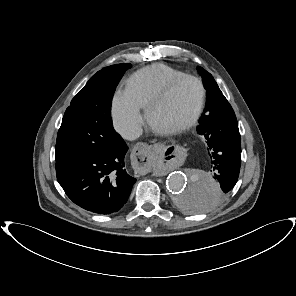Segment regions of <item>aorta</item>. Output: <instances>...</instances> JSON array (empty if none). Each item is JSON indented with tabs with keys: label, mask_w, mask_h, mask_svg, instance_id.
<instances>
[{
	"label": "aorta",
	"mask_w": 296,
	"mask_h": 296,
	"mask_svg": "<svg viewBox=\"0 0 296 296\" xmlns=\"http://www.w3.org/2000/svg\"><path fill=\"white\" fill-rule=\"evenodd\" d=\"M174 206L188 214L210 211L219 197V184L206 172L186 167L171 173L166 182Z\"/></svg>",
	"instance_id": "aorta-1"
}]
</instances>
